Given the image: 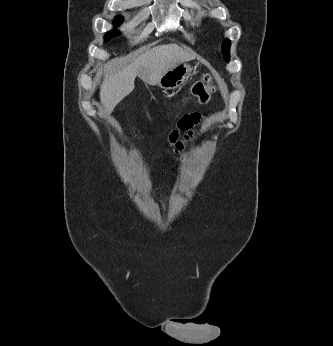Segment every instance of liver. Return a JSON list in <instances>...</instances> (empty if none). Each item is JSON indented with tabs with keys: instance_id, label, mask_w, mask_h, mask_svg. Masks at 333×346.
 Listing matches in <instances>:
<instances>
[{
	"instance_id": "6515ba94",
	"label": "liver",
	"mask_w": 333,
	"mask_h": 346,
	"mask_svg": "<svg viewBox=\"0 0 333 346\" xmlns=\"http://www.w3.org/2000/svg\"><path fill=\"white\" fill-rule=\"evenodd\" d=\"M190 50H183L176 44L154 47L134 58L132 62L119 68L117 61L105 65L106 75L100 87V100L103 114L108 116L116 105L134 90L138 76L144 83L156 85L169 69L195 58Z\"/></svg>"
}]
</instances>
